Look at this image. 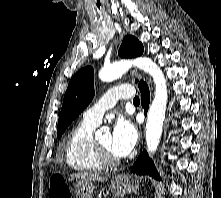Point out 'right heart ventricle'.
<instances>
[{
	"label": "right heart ventricle",
	"instance_id": "e07e8e85",
	"mask_svg": "<svg viewBox=\"0 0 221 198\" xmlns=\"http://www.w3.org/2000/svg\"><path fill=\"white\" fill-rule=\"evenodd\" d=\"M96 124L82 120L69 133L65 142V161L78 171L95 172L103 168L93 144Z\"/></svg>",
	"mask_w": 221,
	"mask_h": 198
}]
</instances>
